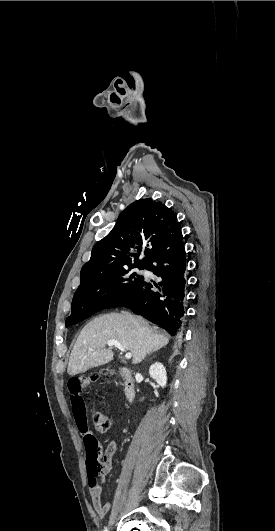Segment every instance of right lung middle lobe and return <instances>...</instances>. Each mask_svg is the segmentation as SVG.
<instances>
[{"mask_svg":"<svg viewBox=\"0 0 275 531\" xmlns=\"http://www.w3.org/2000/svg\"><path fill=\"white\" fill-rule=\"evenodd\" d=\"M145 267L121 268L98 276L78 287L72 300L71 315L65 322L66 327L81 322L105 308L117 307L124 303L144 279L136 273L129 274V271L133 268L142 270Z\"/></svg>","mask_w":275,"mask_h":531,"instance_id":"obj_1","label":"right lung middle lobe"}]
</instances>
